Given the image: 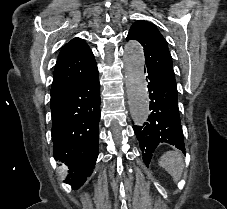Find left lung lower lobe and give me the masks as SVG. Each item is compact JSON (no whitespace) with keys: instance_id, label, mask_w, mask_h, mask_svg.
Listing matches in <instances>:
<instances>
[{"instance_id":"1","label":"left lung lower lobe","mask_w":227,"mask_h":209,"mask_svg":"<svg viewBox=\"0 0 227 209\" xmlns=\"http://www.w3.org/2000/svg\"><path fill=\"white\" fill-rule=\"evenodd\" d=\"M148 89L151 115L148 123L133 126L143 154V161L148 166L155 148L167 143L185 154L182 126L179 117L177 89L165 83L157 74L148 73Z\"/></svg>"}]
</instances>
